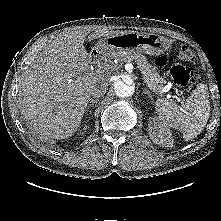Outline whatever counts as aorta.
<instances>
[{
    "label": "aorta",
    "instance_id": "762f6f07",
    "mask_svg": "<svg viewBox=\"0 0 221 221\" xmlns=\"http://www.w3.org/2000/svg\"><path fill=\"white\" fill-rule=\"evenodd\" d=\"M113 89L116 96L124 98L134 93V87L122 79H116L113 83Z\"/></svg>",
    "mask_w": 221,
    "mask_h": 221
}]
</instances>
